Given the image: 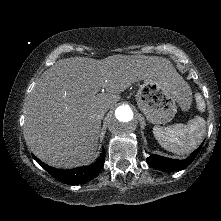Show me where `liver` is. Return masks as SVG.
<instances>
[{"mask_svg":"<svg viewBox=\"0 0 221 221\" xmlns=\"http://www.w3.org/2000/svg\"><path fill=\"white\" fill-rule=\"evenodd\" d=\"M175 73L169 60L156 56L60 59L40 76L25 102L26 143L50 166L87 165L98 147V112L112 108L133 83ZM102 89L106 92L99 93Z\"/></svg>","mask_w":221,"mask_h":221,"instance_id":"obj_1","label":"liver"}]
</instances>
